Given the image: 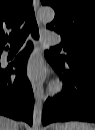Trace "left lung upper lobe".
I'll return each instance as SVG.
<instances>
[{
    "instance_id": "obj_1",
    "label": "left lung upper lobe",
    "mask_w": 95,
    "mask_h": 130,
    "mask_svg": "<svg viewBox=\"0 0 95 130\" xmlns=\"http://www.w3.org/2000/svg\"><path fill=\"white\" fill-rule=\"evenodd\" d=\"M41 3L54 8L55 18L46 27L61 34L67 55L49 53L61 62L95 60V0H41Z\"/></svg>"
}]
</instances>
